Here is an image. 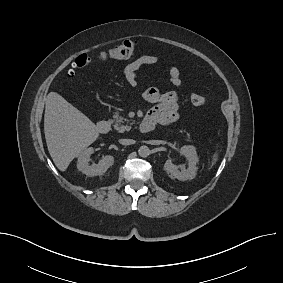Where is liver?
<instances>
[{
	"label": "liver",
	"instance_id": "6515ba94",
	"mask_svg": "<svg viewBox=\"0 0 283 283\" xmlns=\"http://www.w3.org/2000/svg\"><path fill=\"white\" fill-rule=\"evenodd\" d=\"M44 133L50 156L60 171L97 138L96 125L56 92L46 98Z\"/></svg>",
	"mask_w": 283,
	"mask_h": 283
}]
</instances>
